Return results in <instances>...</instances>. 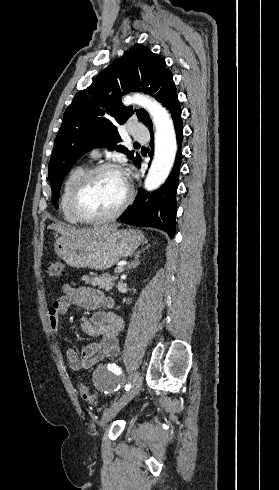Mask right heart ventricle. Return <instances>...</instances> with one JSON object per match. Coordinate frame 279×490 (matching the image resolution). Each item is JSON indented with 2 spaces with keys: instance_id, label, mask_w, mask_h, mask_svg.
<instances>
[{
  "instance_id": "right-heart-ventricle-1",
  "label": "right heart ventricle",
  "mask_w": 279,
  "mask_h": 490,
  "mask_svg": "<svg viewBox=\"0 0 279 490\" xmlns=\"http://www.w3.org/2000/svg\"><path fill=\"white\" fill-rule=\"evenodd\" d=\"M86 170L87 168L83 164H78L72 167L62 184L60 194V211L63 219L71 225H81L84 223L74 212L73 194L80 177Z\"/></svg>"
}]
</instances>
